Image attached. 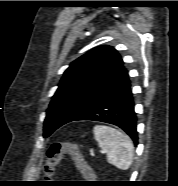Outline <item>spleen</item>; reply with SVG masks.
I'll use <instances>...</instances> for the list:
<instances>
[{
  "instance_id": "spleen-1",
  "label": "spleen",
  "mask_w": 178,
  "mask_h": 186,
  "mask_svg": "<svg viewBox=\"0 0 178 186\" xmlns=\"http://www.w3.org/2000/svg\"><path fill=\"white\" fill-rule=\"evenodd\" d=\"M93 132L98 146L107 155L108 163L121 170H128L134 155L130 137L120 130L104 125H96Z\"/></svg>"
}]
</instances>
